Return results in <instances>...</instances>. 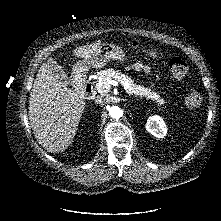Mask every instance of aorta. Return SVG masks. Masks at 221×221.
Returning a JSON list of instances; mask_svg holds the SVG:
<instances>
[{
  "label": "aorta",
  "mask_w": 221,
  "mask_h": 221,
  "mask_svg": "<svg viewBox=\"0 0 221 221\" xmlns=\"http://www.w3.org/2000/svg\"><path fill=\"white\" fill-rule=\"evenodd\" d=\"M109 114L113 119H118L122 116V110L118 106H112L109 109Z\"/></svg>",
  "instance_id": "1"
}]
</instances>
